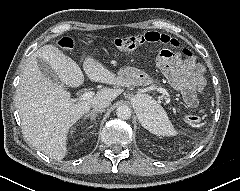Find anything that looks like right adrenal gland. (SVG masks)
I'll return each instance as SVG.
<instances>
[{
    "label": "right adrenal gland",
    "mask_w": 240,
    "mask_h": 191,
    "mask_svg": "<svg viewBox=\"0 0 240 191\" xmlns=\"http://www.w3.org/2000/svg\"><path fill=\"white\" fill-rule=\"evenodd\" d=\"M103 111H95L92 110L91 112H89L88 114L85 115L84 119L90 117L91 121H95L96 117H97V113H101Z\"/></svg>",
    "instance_id": "2a0ac1e0"
}]
</instances>
